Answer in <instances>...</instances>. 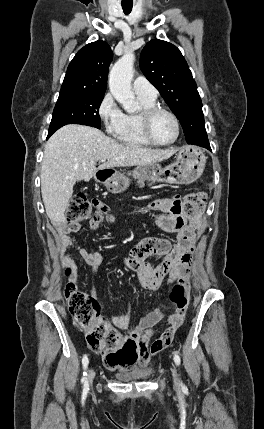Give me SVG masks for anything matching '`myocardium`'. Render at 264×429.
I'll use <instances>...</instances> for the list:
<instances>
[{
  "label": "myocardium",
  "instance_id": "myocardium-1",
  "mask_svg": "<svg viewBox=\"0 0 264 429\" xmlns=\"http://www.w3.org/2000/svg\"><path fill=\"white\" fill-rule=\"evenodd\" d=\"M159 113L167 114L168 116H170L173 119V121L175 123L176 134H175V137L169 142H160V141L156 140L155 137L153 136L152 128H151L152 121H153L154 117ZM139 119H140L141 131H142L144 137L151 144L157 145V146H169V145L174 144L178 140L179 135H180V130H181L180 121H179V118L177 117V115L174 112H172L171 110H169L165 107L159 106V105L146 107L140 111Z\"/></svg>",
  "mask_w": 264,
  "mask_h": 429
}]
</instances>
